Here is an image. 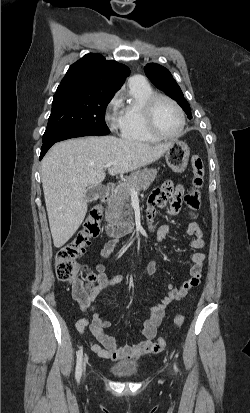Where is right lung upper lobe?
<instances>
[{
    "mask_svg": "<svg viewBox=\"0 0 250 413\" xmlns=\"http://www.w3.org/2000/svg\"><path fill=\"white\" fill-rule=\"evenodd\" d=\"M130 69L102 55L90 53L68 69L58 88L76 86L83 89L115 93L129 75Z\"/></svg>",
    "mask_w": 250,
    "mask_h": 413,
    "instance_id": "cb5924a9",
    "label": "right lung upper lobe"
}]
</instances>
